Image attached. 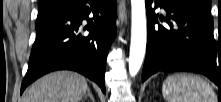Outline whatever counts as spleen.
<instances>
[{"label":"spleen","instance_id":"obj_1","mask_svg":"<svg viewBox=\"0 0 221 102\" xmlns=\"http://www.w3.org/2000/svg\"><path fill=\"white\" fill-rule=\"evenodd\" d=\"M162 94L167 102H215L212 87L201 77L176 73L162 85Z\"/></svg>","mask_w":221,"mask_h":102}]
</instances>
